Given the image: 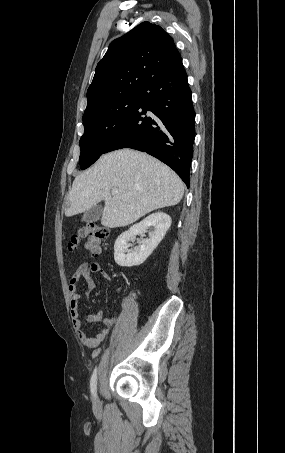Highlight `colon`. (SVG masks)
<instances>
[{
  "instance_id": "5ec220e1",
  "label": "colon",
  "mask_w": 285,
  "mask_h": 453,
  "mask_svg": "<svg viewBox=\"0 0 285 453\" xmlns=\"http://www.w3.org/2000/svg\"><path fill=\"white\" fill-rule=\"evenodd\" d=\"M108 230L102 225L92 222L80 226L72 235L68 244L70 251H75L82 243L92 255L97 256L102 242L107 238Z\"/></svg>"
}]
</instances>
